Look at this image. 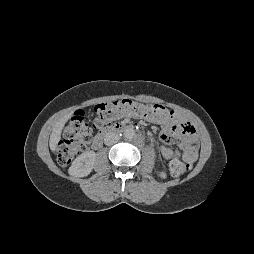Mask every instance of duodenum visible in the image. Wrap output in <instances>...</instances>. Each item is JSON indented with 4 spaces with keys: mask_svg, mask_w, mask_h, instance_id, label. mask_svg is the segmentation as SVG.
Returning <instances> with one entry per match:
<instances>
[{
    "mask_svg": "<svg viewBox=\"0 0 254 254\" xmlns=\"http://www.w3.org/2000/svg\"><path fill=\"white\" fill-rule=\"evenodd\" d=\"M135 127L133 125L123 124V123H117L112 126L104 128L100 133H98L94 139L92 140V147L94 149H98L101 147L103 138L112 133V132H120L125 130H133Z\"/></svg>",
    "mask_w": 254,
    "mask_h": 254,
    "instance_id": "duodenum-1",
    "label": "duodenum"
}]
</instances>
